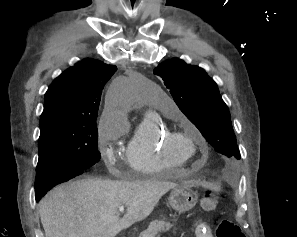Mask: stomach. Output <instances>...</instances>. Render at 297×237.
Wrapping results in <instances>:
<instances>
[{"label":"stomach","instance_id":"obj_1","mask_svg":"<svg viewBox=\"0 0 297 237\" xmlns=\"http://www.w3.org/2000/svg\"><path fill=\"white\" fill-rule=\"evenodd\" d=\"M168 200L174 210L183 213L191 210L195 206L197 194L187 187L182 186L175 188L171 192Z\"/></svg>","mask_w":297,"mask_h":237}]
</instances>
